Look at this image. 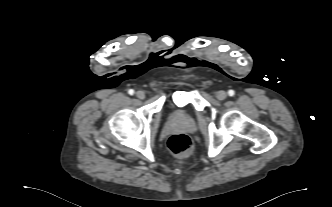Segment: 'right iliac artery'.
Returning <instances> with one entry per match:
<instances>
[{
    "label": "right iliac artery",
    "instance_id": "82829eb1",
    "mask_svg": "<svg viewBox=\"0 0 332 207\" xmlns=\"http://www.w3.org/2000/svg\"><path fill=\"white\" fill-rule=\"evenodd\" d=\"M128 93H129L130 95H133V94H134V90H133V89H130V90L128 91Z\"/></svg>",
    "mask_w": 332,
    "mask_h": 207
}]
</instances>
